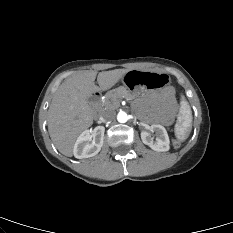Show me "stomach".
<instances>
[{
  "mask_svg": "<svg viewBox=\"0 0 233 233\" xmlns=\"http://www.w3.org/2000/svg\"><path fill=\"white\" fill-rule=\"evenodd\" d=\"M169 76L156 71H127L119 77V84L134 95L161 89L169 84Z\"/></svg>",
  "mask_w": 233,
  "mask_h": 233,
  "instance_id": "1",
  "label": "stomach"
}]
</instances>
